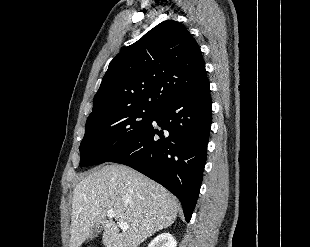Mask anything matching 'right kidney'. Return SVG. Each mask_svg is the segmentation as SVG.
<instances>
[{"label": "right kidney", "mask_w": 310, "mask_h": 247, "mask_svg": "<svg viewBox=\"0 0 310 247\" xmlns=\"http://www.w3.org/2000/svg\"><path fill=\"white\" fill-rule=\"evenodd\" d=\"M148 247H177V241L170 233H162L154 238Z\"/></svg>", "instance_id": "obj_1"}]
</instances>
